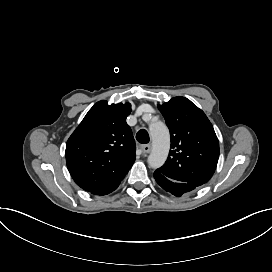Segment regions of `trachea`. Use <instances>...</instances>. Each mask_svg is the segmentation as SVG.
<instances>
[{"instance_id": "trachea-1", "label": "trachea", "mask_w": 272, "mask_h": 272, "mask_svg": "<svg viewBox=\"0 0 272 272\" xmlns=\"http://www.w3.org/2000/svg\"><path fill=\"white\" fill-rule=\"evenodd\" d=\"M136 139L141 144H147L150 140L148 132L144 129L140 130L136 134Z\"/></svg>"}]
</instances>
